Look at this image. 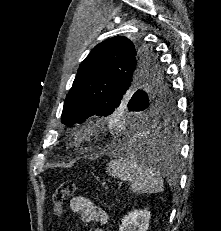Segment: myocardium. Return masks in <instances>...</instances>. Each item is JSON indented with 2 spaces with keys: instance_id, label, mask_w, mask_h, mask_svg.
Segmentation results:
<instances>
[{
  "instance_id": "myocardium-1",
  "label": "myocardium",
  "mask_w": 221,
  "mask_h": 231,
  "mask_svg": "<svg viewBox=\"0 0 221 231\" xmlns=\"http://www.w3.org/2000/svg\"><path fill=\"white\" fill-rule=\"evenodd\" d=\"M92 133L89 129L83 128L79 135V141L83 145H88L92 142Z\"/></svg>"
}]
</instances>
